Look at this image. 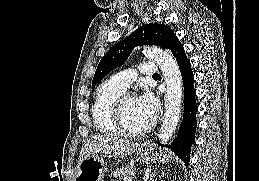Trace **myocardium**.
I'll use <instances>...</instances> for the list:
<instances>
[{
    "label": "myocardium",
    "instance_id": "1",
    "mask_svg": "<svg viewBox=\"0 0 259 181\" xmlns=\"http://www.w3.org/2000/svg\"><path fill=\"white\" fill-rule=\"evenodd\" d=\"M134 97L135 95L133 92L124 91L115 102L114 116H115L116 124L122 133L130 136H139L150 131L153 128L155 122L154 120H152L146 126L141 128H132L127 125L125 121V115H124V105L128 99H131Z\"/></svg>",
    "mask_w": 259,
    "mask_h": 181
}]
</instances>
